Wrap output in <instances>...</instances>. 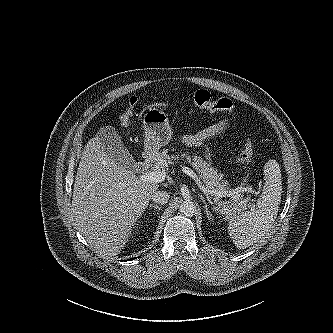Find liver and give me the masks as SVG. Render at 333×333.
Listing matches in <instances>:
<instances>
[{
	"instance_id": "6515ba94",
	"label": "liver",
	"mask_w": 333,
	"mask_h": 333,
	"mask_svg": "<svg viewBox=\"0 0 333 333\" xmlns=\"http://www.w3.org/2000/svg\"><path fill=\"white\" fill-rule=\"evenodd\" d=\"M157 189L156 183L141 181L113 161L98 136L91 138L74 183L75 224L100 255L116 256Z\"/></svg>"
}]
</instances>
